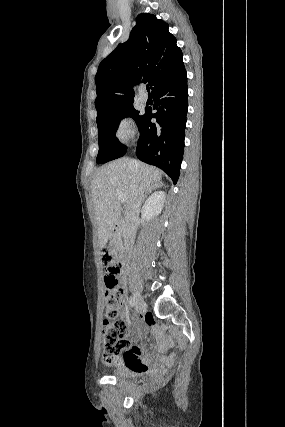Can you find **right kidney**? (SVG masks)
I'll use <instances>...</instances> for the list:
<instances>
[{
    "instance_id": "ca27d5eb",
    "label": "right kidney",
    "mask_w": 285,
    "mask_h": 427,
    "mask_svg": "<svg viewBox=\"0 0 285 427\" xmlns=\"http://www.w3.org/2000/svg\"><path fill=\"white\" fill-rule=\"evenodd\" d=\"M165 196L166 193L164 191H157L146 200L142 208L143 219L149 221L161 213L165 202Z\"/></svg>"
}]
</instances>
